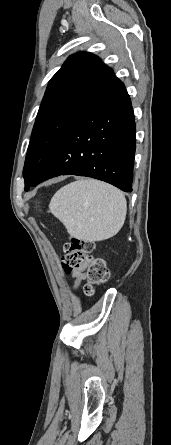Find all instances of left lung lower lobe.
<instances>
[{
  "label": "left lung lower lobe",
  "mask_w": 171,
  "mask_h": 445,
  "mask_svg": "<svg viewBox=\"0 0 171 445\" xmlns=\"http://www.w3.org/2000/svg\"><path fill=\"white\" fill-rule=\"evenodd\" d=\"M135 122L130 97L122 85L99 101L65 134L30 186L59 175H78L132 191Z\"/></svg>",
  "instance_id": "left-lung-lower-lobe-1"
}]
</instances>
